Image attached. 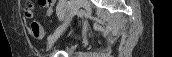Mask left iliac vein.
I'll list each match as a JSON object with an SVG mask.
<instances>
[{"instance_id": "obj_1", "label": "left iliac vein", "mask_w": 172, "mask_h": 57, "mask_svg": "<svg viewBox=\"0 0 172 57\" xmlns=\"http://www.w3.org/2000/svg\"><path fill=\"white\" fill-rule=\"evenodd\" d=\"M83 1L81 0H71L69 4V14L65 17L63 24L57 28V30L49 37L48 44L49 47L54 43V41L60 36V34L65 30L69 25L74 15L77 14L78 10L82 6ZM66 10V9H65Z\"/></svg>"}]
</instances>
